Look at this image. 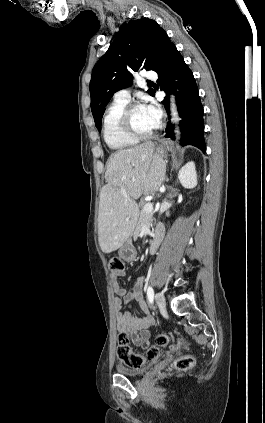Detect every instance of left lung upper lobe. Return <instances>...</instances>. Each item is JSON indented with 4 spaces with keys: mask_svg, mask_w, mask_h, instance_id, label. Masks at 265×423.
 <instances>
[{
    "mask_svg": "<svg viewBox=\"0 0 265 423\" xmlns=\"http://www.w3.org/2000/svg\"><path fill=\"white\" fill-rule=\"evenodd\" d=\"M169 43L168 35L154 20L141 18L122 24L115 40L92 71L91 110L99 131L112 95L131 84L133 72L158 71ZM148 93L153 96L155 91L149 89Z\"/></svg>",
    "mask_w": 265,
    "mask_h": 423,
    "instance_id": "1",
    "label": "left lung upper lobe"
}]
</instances>
